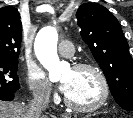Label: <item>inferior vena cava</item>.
<instances>
[{"mask_svg": "<svg viewBox=\"0 0 133 118\" xmlns=\"http://www.w3.org/2000/svg\"><path fill=\"white\" fill-rule=\"evenodd\" d=\"M50 99V91L42 89L34 94V99L28 105L27 118H42V113L47 108Z\"/></svg>", "mask_w": 133, "mask_h": 118, "instance_id": "obj_1", "label": "inferior vena cava"}]
</instances>
